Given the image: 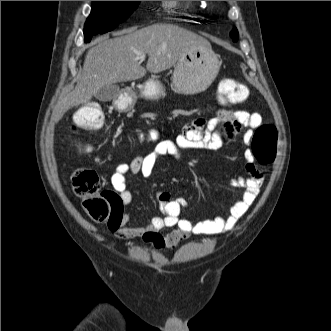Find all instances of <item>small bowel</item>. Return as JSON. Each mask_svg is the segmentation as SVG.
Wrapping results in <instances>:
<instances>
[{
    "label": "small bowel",
    "mask_w": 331,
    "mask_h": 331,
    "mask_svg": "<svg viewBox=\"0 0 331 331\" xmlns=\"http://www.w3.org/2000/svg\"><path fill=\"white\" fill-rule=\"evenodd\" d=\"M261 123L260 114L243 110L220 109L210 119L196 118L183 124L181 134L176 141H159L147 155L137 156L129 163L118 164L111 176L112 188L122 204L128 205L132 201V194L127 187L128 174L141 173L144 177H149L159 158L171 156L183 161V151L187 149L217 150L222 146L224 137L233 139L243 127L246 128L243 140L248 144L253 137V130ZM244 157L248 176L233 177L230 180V185L243 189V193L227 214L193 223L180 217L182 209L187 207L185 199L172 200L169 193L160 192L158 202L164 216H155L147 224L130 226V217L125 214L121 216L118 226L113 229L116 237L122 240L141 239L156 250H162L174 249L191 235H215L231 230L254 203L263 182V175L256 168L250 149L245 151ZM164 228L174 229L162 235L160 231Z\"/></svg>",
    "instance_id": "1"
}]
</instances>
